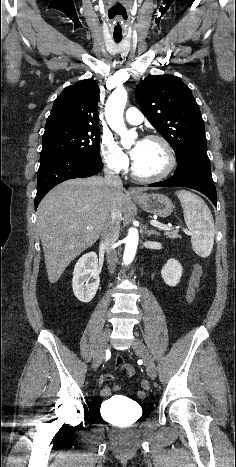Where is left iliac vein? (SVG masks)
Listing matches in <instances>:
<instances>
[{"label":"left iliac vein","mask_w":236,"mask_h":467,"mask_svg":"<svg viewBox=\"0 0 236 467\" xmlns=\"http://www.w3.org/2000/svg\"><path fill=\"white\" fill-rule=\"evenodd\" d=\"M133 349L143 359L149 377L151 379H155L157 375V369L146 345L140 339L135 338L133 342Z\"/></svg>","instance_id":"obj_1"}]
</instances>
